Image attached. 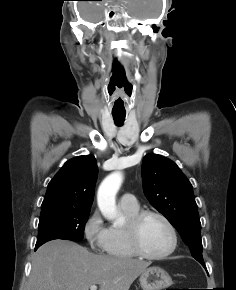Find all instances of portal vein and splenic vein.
Here are the masks:
<instances>
[{
  "label": "portal vein and splenic vein",
  "mask_w": 236,
  "mask_h": 290,
  "mask_svg": "<svg viewBox=\"0 0 236 290\" xmlns=\"http://www.w3.org/2000/svg\"><path fill=\"white\" fill-rule=\"evenodd\" d=\"M90 290H97V285H91Z\"/></svg>",
  "instance_id": "portal-vein-and-splenic-vein-1"
}]
</instances>
